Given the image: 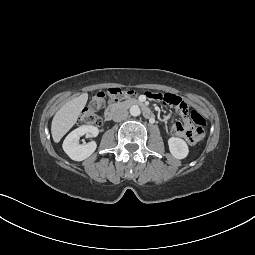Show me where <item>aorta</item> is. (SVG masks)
I'll return each instance as SVG.
<instances>
[{"instance_id":"762f6f07","label":"aorta","mask_w":255,"mask_h":255,"mask_svg":"<svg viewBox=\"0 0 255 255\" xmlns=\"http://www.w3.org/2000/svg\"><path fill=\"white\" fill-rule=\"evenodd\" d=\"M129 111H130V114H131L132 116H134V117L139 116L140 113H141L140 108H139V106H137V105L131 106Z\"/></svg>"}]
</instances>
